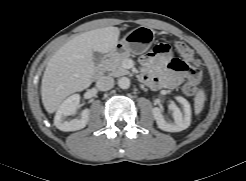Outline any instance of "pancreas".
Masks as SVG:
<instances>
[{"mask_svg": "<svg viewBox=\"0 0 246 181\" xmlns=\"http://www.w3.org/2000/svg\"><path fill=\"white\" fill-rule=\"evenodd\" d=\"M129 57V53H123L121 55L111 57L105 61L103 70L109 72L110 75L115 77L129 74V71L123 67V62Z\"/></svg>", "mask_w": 246, "mask_h": 181, "instance_id": "pancreas-1", "label": "pancreas"}]
</instances>
